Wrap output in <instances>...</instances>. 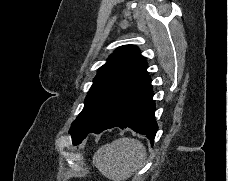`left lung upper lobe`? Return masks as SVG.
Masks as SVG:
<instances>
[{
    "label": "left lung upper lobe",
    "mask_w": 228,
    "mask_h": 181,
    "mask_svg": "<svg viewBox=\"0 0 228 181\" xmlns=\"http://www.w3.org/2000/svg\"><path fill=\"white\" fill-rule=\"evenodd\" d=\"M146 59L134 45L119 47L98 70L82 112L69 133L106 128L118 123L138 85L148 75Z\"/></svg>",
    "instance_id": "obj_1"
}]
</instances>
